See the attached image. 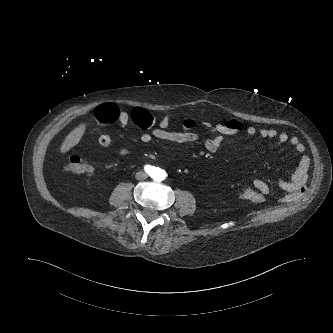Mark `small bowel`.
<instances>
[{
  "instance_id": "obj_1",
  "label": "small bowel",
  "mask_w": 333,
  "mask_h": 333,
  "mask_svg": "<svg viewBox=\"0 0 333 333\" xmlns=\"http://www.w3.org/2000/svg\"><path fill=\"white\" fill-rule=\"evenodd\" d=\"M118 120L122 126L127 125L129 121H132L136 125H139V127L142 129H147L152 125L155 126L149 132L141 134L140 140L143 143L164 141L170 143L184 144L192 143L199 139L195 135V130L191 133H186L183 130L169 131L168 127L173 122L170 116L165 115L154 119L151 114H149L145 109L140 107L133 108L130 113L120 112ZM242 133H244L249 138L260 135L262 138L275 139L281 143H289L293 147L295 152L300 155L299 170L294 177L280 181V186L287 191V194L281 199V201L289 202L299 196L304 191L305 177L310 165V159L307 155L304 154L305 146L298 137L289 136L287 133L280 132L277 129L273 128H261L258 130L253 126L245 127L244 125L243 130L239 133L230 135H213L212 137L207 138L204 142V147L208 152L216 153L228 136H235ZM98 143L103 147L110 146L112 143V135L108 132H101L98 136ZM120 152L123 155H127L130 153V148L127 145L123 144L120 147ZM252 186L261 194L267 195L270 192L269 184L262 179H254L252 181Z\"/></svg>"
}]
</instances>
